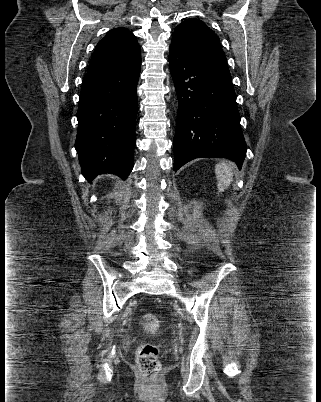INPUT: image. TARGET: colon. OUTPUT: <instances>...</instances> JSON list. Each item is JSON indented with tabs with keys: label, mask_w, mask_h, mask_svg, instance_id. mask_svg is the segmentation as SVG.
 Wrapping results in <instances>:
<instances>
[{
	"label": "colon",
	"mask_w": 321,
	"mask_h": 402,
	"mask_svg": "<svg viewBox=\"0 0 321 402\" xmlns=\"http://www.w3.org/2000/svg\"><path fill=\"white\" fill-rule=\"evenodd\" d=\"M140 324L147 332H154L158 328V320L153 314H144ZM160 348L151 343L141 344L136 351V364L139 371L149 380H153L161 369L159 360Z\"/></svg>",
	"instance_id": "1"
}]
</instances>
